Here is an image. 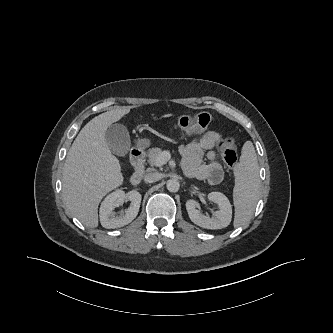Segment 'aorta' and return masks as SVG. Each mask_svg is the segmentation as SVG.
Masks as SVG:
<instances>
[{"instance_id": "762f6f07", "label": "aorta", "mask_w": 333, "mask_h": 333, "mask_svg": "<svg viewBox=\"0 0 333 333\" xmlns=\"http://www.w3.org/2000/svg\"><path fill=\"white\" fill-rule=\"evenodd\" d=\"M180 188L179 181L177 179H170L167 181V189L170 192H177Z\"/></svg>"}]
</instances>
